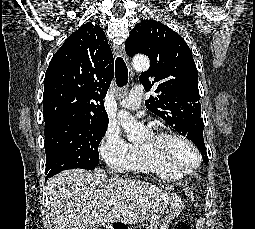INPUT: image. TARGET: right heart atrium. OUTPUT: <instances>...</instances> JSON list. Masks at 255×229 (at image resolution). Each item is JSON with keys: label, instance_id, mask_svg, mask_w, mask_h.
I'll return each instance as SVG.
<instances>
[{"label": "right heart atrium", "instance_id": "d8ad5b80", "mask_svg": "<svg viewBox=\"0 0 255 229\" xmlns=\"http://www.w3.org/2000/svg\"><path fill=\"white\" fill-rule=\"evenodd\" d=\"M131 145L123 138L118 128L110 126L99 146L106 165L115 171L123 170L129 156Z\"/></svg>", "mask_w": 255, "mask_h": 229}]
</instances>
